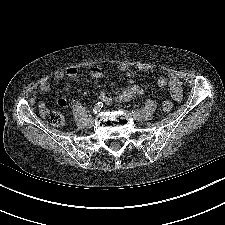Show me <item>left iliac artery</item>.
<instances>
[{
	"mask_svg": "<svg viewBox=\"0 0 225 225\" xmlns=\"http://www.w3.org/2000/svg\"><path fill=\"white\" fill-rule=\"evenodd\" d=\"M134 112H136V113H138V114H142V115H145V114H146V111L143 110V109H137V110L134 111Z\"/></svg>",
	"mask_w": 225,
	"mask_h": 225,
	"instance_id": "1",
	"label": "left iliac artery"
}]
</instances>
